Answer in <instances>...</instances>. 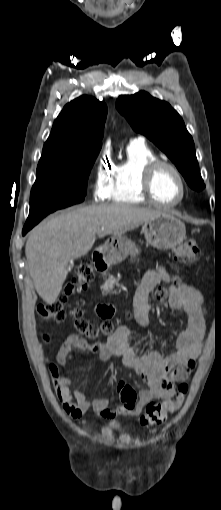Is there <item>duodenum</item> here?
<instances>
[{
	"label": "duodenum",
	"mask_w": 221,
	"mask_h": 510,
	"mask_svg": "<svg viewBox=\"0 0 221 510\" xmlns=\"http://www.w3.org/2000/svg\"><path fill=\"white\" fill-rule=\"evenodd\" d=\"M93 263L98 272H104L107 269L108 262L106 257L102 251V249H97L93 255ZM109 311L108 307L100 306L97 308V312L101 315H105Z\"/></svg>",
	"instance_id": "obj_1"
}]
</instances>
